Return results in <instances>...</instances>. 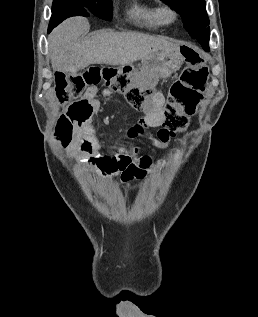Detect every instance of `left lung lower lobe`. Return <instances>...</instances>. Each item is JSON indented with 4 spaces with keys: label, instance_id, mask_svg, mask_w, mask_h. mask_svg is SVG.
Returning <instances> with one entry per match:
<instances>
[{
    "label": "left lung lower lobe",
    "instance_id": "left-lung-lower-lobe-1",
    "mask_svg": "<svg viewBox=\"0 0 258 317\" xmlns=\"http://www.w3.org/2000/svg\"><path fill=\"white\" fill-rule=\"evenodd\" d=\"M193 38H196L198 42L202 45L203 49L208 51L209 49L208 42H209L210 34L195 35Z\"/></svg>",
    "mask_w": 258,
    "mask_h": 317
}]
</instances>
